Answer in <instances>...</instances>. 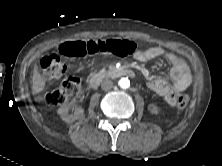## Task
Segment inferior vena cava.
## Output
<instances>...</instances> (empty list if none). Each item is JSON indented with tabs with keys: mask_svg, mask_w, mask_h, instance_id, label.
<instances>
[{
	"mask_svg": "<svg viewBox=\"0 0 222 166\" xmlns=\"http://www.w3.org/2000/svg\"><path fill=\"white\" fill-rule=\"evenodd\" d=\"M101 87L103 90H110L113 88V82L110 79H105L102 81Z\"/></svg>",
	"mask_w": 222,
	"mask_h": 166,
	"instance_id": "obj_1",
	"label": "inferior vena cava"
}]
</instances>
